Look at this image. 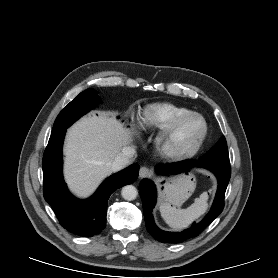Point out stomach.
Listing matches in <instances>:
<instances>
[{
    "label": "stomach",
    "mask_w": 278,
    "mask_h": 278,
    "mask_svg": "<svg viewBox=\"0 0 278 278\" xmlns=\"http://www.w3.org/2000/svg\"><path fill=\"white\" fill-rule=\"evenodd\" d=\"M190 176L178 177L165 184L161 194L162 201L179 206L194 192L196 183Z\"/></svg>",
    "instance_id": "obj_1"
}]
</instances>
